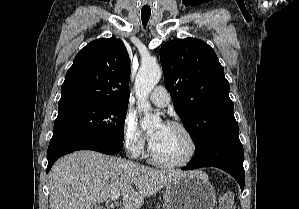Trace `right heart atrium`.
Listing matches in <instances>:
<instances>
[{
  "instance_id": "right-heart-atrium-1",
  "label": "right heart atrium",
  "mask_w": 299,
  "mask_h": 209,
  "mask_svg": "<svg viewBox=\"0 0 299 209\" xmlns=\"http://www.w3.org/2000/svg\"><path fill=\"white\" fill-rule=\"evenodd\" d=\"M123 139L127 150L135 157L144 150V137L133 115L127 114L123 121Z\"/></svg>"
}]
</instances>
